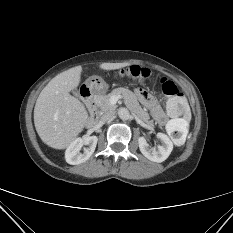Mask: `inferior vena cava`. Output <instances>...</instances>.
<instances>
[{
    "label": "inferior vena cava",
    "instance_id": "602c4592",
    "mask_svg": "<svg viewBox=\"0 0 233 233\" xmlns=\"http://www.w3.org/2000/svg\"><path fill=\"white\" fill-rule=\"evenodd\" d=\"M114 116H115L114 111H107L100 117V122L105 123V122L111 120L112 118H114Z\"/></svg>",
    "mask_w": 233,
    "mask_h": 233
}]
</instances>
